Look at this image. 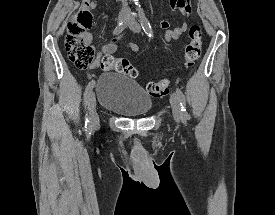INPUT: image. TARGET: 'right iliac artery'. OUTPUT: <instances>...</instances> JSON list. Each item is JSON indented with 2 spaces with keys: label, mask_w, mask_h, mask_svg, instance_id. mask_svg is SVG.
<instances>
[{
  "label": "right iliac artery",
  "mask_w": 275,
  "mask_h": 215,
  "mask_svg": "<svg viewBox=\"0 0 275 215\" xmlns=\"http://www.w3.org/2000/svg\"><path fill=\"white\" fill-rule=\"evenodd\" d=\"M126 25H127V21L126 20L121 21L116 26V28L114 29L113 34L114 35L120 34L125 29ZM94 84H95V82H94V80H92L91 82H89V84L87 85V87L85 89V93H84L85 107L87 105L88 98H89V96L92 93V90L94 88ZM90 127H91V125H90L88 117H87L86 121H85V128H86V130H88V129H90Z\"/></svg>",
  "instance_id": "1"
}]
</instances>
